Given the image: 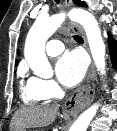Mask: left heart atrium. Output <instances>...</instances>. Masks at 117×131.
<instances>
[{"label": "left heart atrium", "mask_w": 117, "mask_h": 131, "mask_svg": "<svg viewBox=\"0 0 117 131\" xmlns=\"http://www.w3.org/2000/svg\"><path fill=\"white\" fill-rule=\"evenodd\" d=\"M87 62L85 56L79 51L65 53L56 63L58 80L67 87L77 85L84 77Z\"/></svg>", "instance_id": "obj_1"}]
</instances>
